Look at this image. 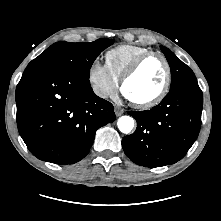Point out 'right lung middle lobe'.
<instances>
[{
    "label": "right lung middle lobe",
    "mask_w": 221,
    "mask_h": 221,
    "mask_svg": "<svg viewBox=\"0 0 221 221\" xmlns=\"http://www.w3.org/2000/svg\"><path fill=\"white\" fill-rule=\"evenodd\" d=\"M114 40L98 39L94 42L69 43L60 41L32 60L27 68H51L78 73L89 78L90 68L97 56Z\"/></svg>",
    "instance_id": "right-lung-middle-lobe-1"
}]
</instances>
